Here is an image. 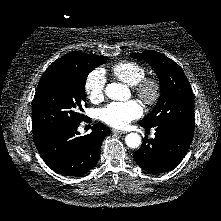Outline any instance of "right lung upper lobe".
<instances>
[{
  "mask_svg": "<svg viewBox=\"0 0 221 221\" xmlns=\"http://www.w3.org/2000/svg\"><path fill=\"white\" fill-rule=\"evenodd\" d=\"M94 57H97V56L85 54V53H81V52H73V53H69V54L63 56L62 58H59L54 63L63 62V61H80V60L94 58Z\"/></svg>",
  "mask_w": 221,
  "mask_h": 221,
  "instance_id": "right-lung-upper-lobe-1",
  "label": "right lung upper lobe"
}]
</instances>
